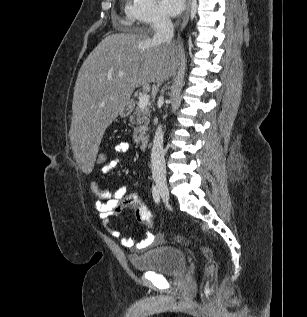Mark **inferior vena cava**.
I'll use <instances>...</instances> for the list:
<instances>
[{"label":"inferior vena cava","instance_id":"obj_1","mask_svg":"<svg viewBox=\"0 0 307 317\" xmlns=\"http://www.w3.org/2000/svg\"><path fill=\"white\" fill-rule=\"evenodd\" d=\"M155 35L154 42L171 43L174 36V27L171 19L165 14H160L153 23ZM163 149V131L161 126H158L155 132L153 146L151 150V169L153 177L165 176V158Z\"/></svg>","mask_w":307,"mask_h":317}]
</instances>
